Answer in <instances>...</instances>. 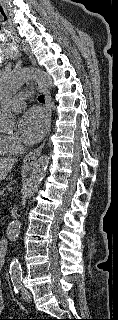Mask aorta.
I'll list each match as a JSON object with an SVG mask.
<instances>
[{"mask_svg":"<svg viewBox=\"0 0 118 320\" xmlns=\"http://www.w3.org/2000/svg\"><path fill=\"white\" fill-rule=\"evenodd\" d=\"M31 79H37L48 87L53 86V80L49 74L39 68H22L6 73L0 78V130L11 131L17 126L16 116L4 105L5 101L10 98L14 92L24 83ZM49 165V157L42 155L38 158L29 177L27 186L23 192L25 199H30L37 191L43 178L46 175ZM21 229V221L13 220L7 227V238L10 242L15 243L18 240ZM9 274L12 280L22 278V269L19 260L14 257L11 260Z\"/></svg>","mask_w":118,"mask_h":320,"instance_id":"762f6f07","label":"aorta"}]
</instances>
